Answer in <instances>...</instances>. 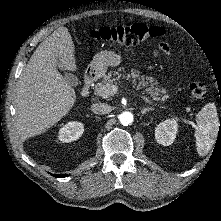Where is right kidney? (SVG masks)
<instances>
[{
    "mask_svg": "<svg viewBox=\"0 0 221 221\" xmlns=\"http://www.w3.org/2000/svg\"><path fill=\"white\" fill-rule=\"evenodd\" d=\"M84 132V126L80 122H69L59 130L58 139L68 143L79 139Z\"/></svg>",
    "mask_w": 221,
    "mask_h": 221,
    "instance_id": "obj_1",
    "label": "right kidney"
}]
</instances>
